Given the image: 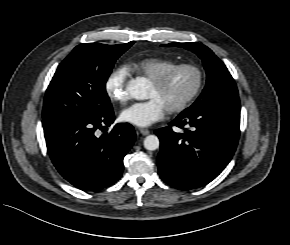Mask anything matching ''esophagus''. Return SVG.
Returning <instances> with one entry per match:
<instances>
[{
	"label": "esophagus",
	"mask_w": 290,
	"mask_h": 245,
	"mask_svg": "<svg viewBox=\"0 0 290 245\" xmlns=\"http://www.w3.org/2000/svg\"><path fill=\"white\" fill-rule=\"evenodd\" d=\"M139 132L144 136H146L150 133V131L148 129H145V128H139Z\"/></svg>",
	"instance_id": "34e87169"
}]
</instances>
